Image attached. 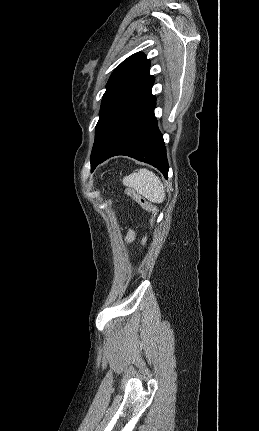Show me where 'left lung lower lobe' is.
Masks as SVG:
<instances>
[{"label": "left lung lower lobe", "instance_id": "left-lung-lower-lobe-1", "mask_svg": "<svg viewBox=\"0 0 259 431\" xmlns=\"http://www.w3.org/2000/svg\"><path fill=\"white\" fill-rule=\"evenodd\" d=\"M155 105L156 98L151 94L123 117L90 158L91 172L108 158L125 155L153 165L167 178L169 167Z\"/></svg>", "mask_w": 259, "mask_h": 431}]
</instances>
